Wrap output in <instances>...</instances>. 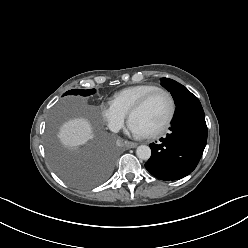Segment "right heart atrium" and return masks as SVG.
I'll return each instance as SVG.
<instances>
[{
  "instance_id": "obj_1",
  "label": "right heart atrium",
  "mask_w": 248,
  "mask_h": 248,
  "mask_svg": "<svg viewBox=\"0 0 248 248\" xmlns=\"http://www.w3.org/2000/svg\"><path fill=\"white\" fill-rule=\"evenodd\" d=\"M101 115L107 126L114 132L122 129L127 118V113L121 110L112 101L102 106Z\"/></svg>"
}]
</instances>
